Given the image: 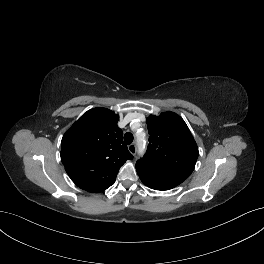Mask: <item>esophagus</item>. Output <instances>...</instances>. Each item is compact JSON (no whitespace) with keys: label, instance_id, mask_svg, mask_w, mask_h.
<instances>
[{"label":"esophagus","instance_id":"obj_1","mask_svg":"<svg viewBox=\"0 0 264 264\" xmlns=\"http://www.w3.org/2000/svg\"><path fill=\"white\" fill-rule=\"evenodd\" d=\"M128 150H129V152H130L131 154L135 155V154H136V150H137V148H136V144H134V143L130 144V145L128 146Z\"/></svg>","mask_w":264,"mask_h":264}]
</instances>
